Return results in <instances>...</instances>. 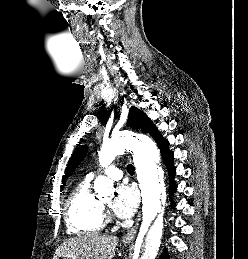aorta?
Masks as SVG:
<instances>
[{"mask_svg": "<svg viewBox=\"0 0 248 259\" xmlns=\"http://www.w3.org/2000/svg\"><path fill=\"white\" fill-rule=\"evenodd\" d=\"M130 150L136 167L137 179L142 195V225L134 251L136 259H155L161 244L163 232V207L166 193L163 183V170L157 166L160 153L156 144L147 136L123 134L112 136L104 142L99 154L102 167L110 165L115 157ZM113 182L105 176H98L94 182V189L99 194L109 192ZM144 252L141 256L140 246L144 234Z\"/></svg>", "mask_w": 248, "mask_h": 259, "instance_id": "1", "label": "aorta"}]
</instances>
